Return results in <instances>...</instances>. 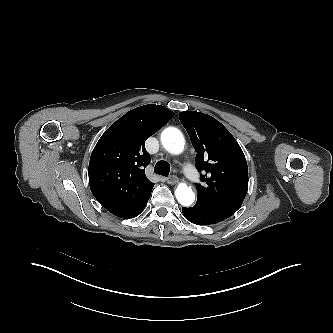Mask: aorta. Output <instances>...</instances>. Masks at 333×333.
<instances>
[{"mask_svg":"<svg viewBox=\"0 0 333 333\" xmlns=\"http://www.w3.org/2000/svg\"><path fill=\"white\" fill-rule=\"evenodd\" d=\"M163 147L171 154H180L184 150L185 139L182 132L175 127H168L161 134ZM177 201L183 206H190L195 200V193L191 186L181 182L175 190Z\"/></svg>","mask_w":333,"mask_h":333,"instance_id":"aorta-1","label":"aorta"}]
</instances>
